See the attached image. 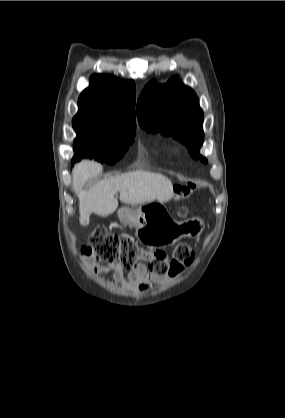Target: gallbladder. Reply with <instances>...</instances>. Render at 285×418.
I'll return each instance as SVG.
<instances>
[{
  "instance_id": "1",
  "label": "gallbladder",
  "mask_w": 285,
  "mask_h": 418,
  "mask_svg": "<svg viewBox=\"0 0 285 418\" xmlns=\"http://www.w3.org/2000/svg\"><path fill=\"white\" fill-rule=\"evenodd\" d=\"M89 223V218H84L82 221H81V224L82 225H87Z\"/></svg>"
}]
</instances>
